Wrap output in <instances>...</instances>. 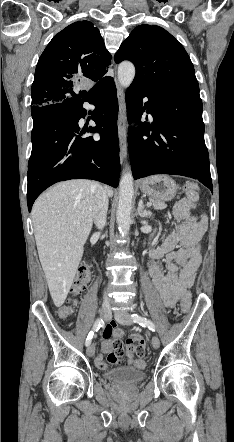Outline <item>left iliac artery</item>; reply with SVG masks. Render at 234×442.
<instances>
[{
  "instance_id": "1",
  "label": "left iliac artery",
  "mask_w": 234,
  "mask_h": 442,
  "mask_svg": "<svg viewBox=\"0 0 234 442\" xmlns=\"http://www.w3.org/2000/svg\"><path fill=\"white\" fill-rule=\"evenodd\" d=\"M131 316L135 323H138L142 327H148L152 332H155L156 327L152 321L137 314H132Z\"/></svg>"
}]
</instances>
